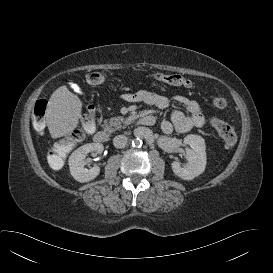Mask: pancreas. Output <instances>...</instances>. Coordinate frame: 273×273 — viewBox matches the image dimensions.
I'll return each instance as SVG.
<instances>
[{
  "label": "pancreas",
  "mask_w": 273,
  "mask_h": 273,
  "mask_svg": "<svg viewBox=\"0 0 273 273\" xmlns=\"http://www.w3.org/2000/svg\"><path fill=\"white\" fill-rule=\"evenodd\" d=\"M134 121L133 117L124 118L123 116L112 117L104 120L103 128L109 133L115 132L123 127V125H129Z\"/></svg>",
  "instance_id": "pancreas-1"
}]
</instances>
